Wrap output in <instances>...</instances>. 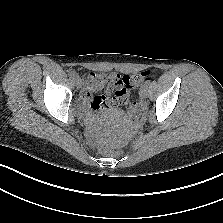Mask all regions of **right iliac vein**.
I'll return each instance as SVG.
<instances>
[{
	"label": "right iliac vein",
	"instance_id": "63e3f726",
	"mask_svg": "<svg viewBox=\"0 0 223 223\" xmlns=\"http://www.w3.org/2000/svg\"><path fill=\"white\" fill-rule=\"evenodd\" d=\"M75 85L77 88H81L82 80L79 77H75Z\"/></svg>",
	"mask_w": 223,
	"mask_h": 223
}]
</instances>
